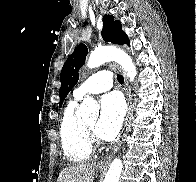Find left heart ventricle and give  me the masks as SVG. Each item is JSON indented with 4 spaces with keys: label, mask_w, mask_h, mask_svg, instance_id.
<instances>
[{
    "label": "left heart ventricle",
    "mask_w": 196,
    "mask_h": 182,
    "mask_svg": "<svg viewBox=\"0 0 196 182\" xmlns=\"http://www.w3.org/2000/svg\"><path fill=\"white\" fill-rule=\"evenodd\" d=\"M86 124L93 129L96 126V119L88 121Z\"/></svg>",
    "instance_id": "left-heart-ventricle-1"
}]
</instances>
